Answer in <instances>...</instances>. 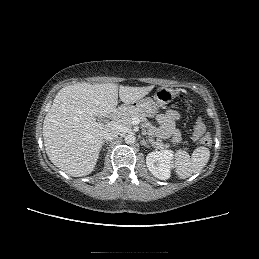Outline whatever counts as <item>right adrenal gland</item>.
<instances>
[{
    "label": "right adrenal gland",
    "instance_id": "right-adrenal-gland-1",
    "mask_svg": "<svg viewBox=\"0 0 259 259\" xmlns=\"http://www.w3.org/2000/svg\"><path fill=\"white\" fill-rule=\"evenodd\" d=\"M108 143V141H104L103 144Z\"/></svg>",
    "mask_w": 259,
    "mask_h": 259
}]
</instances>
